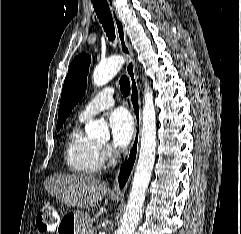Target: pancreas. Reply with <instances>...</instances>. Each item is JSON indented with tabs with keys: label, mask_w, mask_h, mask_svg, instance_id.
I'll return each mask as SVG.
<instances>
[{
	"label": "pancreas",
	"mask_w": 241,
	"mask_h": 234,
	"mask_svg": "<svg viewBox=\"0 0 241 234\" xmlns=\"http://www.w3.org/2000/svg\"><path fill=\"white\" fill-rule=\"evenodd\" d=\"M86 234H92V233H90V232H87Z\"/></svg>",
	"instance_id": "1"
}]
</instances>
